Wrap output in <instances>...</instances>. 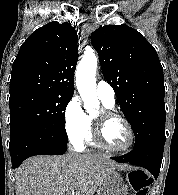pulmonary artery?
Listing matches in <instances>:
<instances>
[{"label": "pulmonary artery", "mask_w": 178, "mask_h": 195, "mask_svg": "<svg viewBox=\"0 0 178 195\" xmlns=\"http://www.w3.org/2000/svg\"><path fill=\"white\" fill-rule=\"evenodd\" d=\"M96 92L100 100L106 102L107 104L114 105L115 91L108 82L105 80L99 81L96 85Z\"/></svg>", "instance_id": "1"}]
</instances>
